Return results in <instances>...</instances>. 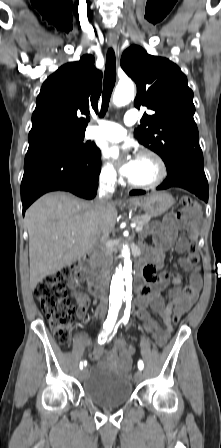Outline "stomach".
Here are the masks:
<instances>
[{"label":"stomach","mask_w":221,"mask_h":448,"mask_svg":"<svg viewBox=\"0 0 221 448\" xmlns=\"http://www.w3.org/2000/svg\"><path fill=\"white\" fill-rule=\"evenodd\" d=\"M173 203L174 199L169 193L154 192L136 199L129 205V208L132 210L140 208L150 216H160L168 211Z\"/></svg>","instance_id":"obj_1"}]
</instances>
